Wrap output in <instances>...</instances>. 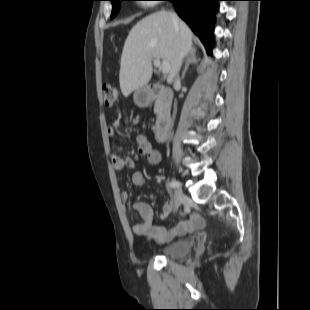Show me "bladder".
<instances>
[{
    "instance_id": "bladder-1",
    "label": "bladder",
    "mask_w": 310,
    "mask_h": 310,
    "mask_svg": "<svg viewBox=\"0 0 310 310\" xmlns=\"http://www.w3.org/2000/svg\"><path fill=\"white\" fill-rule=\"evenodd\" d=\"M193 249L191 241L176 240L160 249V256L167 259H180L187 256Z\"/></svg>"
}]
</instances>
